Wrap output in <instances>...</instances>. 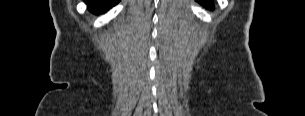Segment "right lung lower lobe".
Segmentation results:
<instances>
[{"mask_svg": "<svg viewBox=\"0 0 305 116\" xmlns=\"http://www.w3.org/2000/svg\"><path fill=\"white\" fill-rule=\"evenodd\" d=\"M119 0H86L88 9L94 14H101L114 5H116Z\"/></svg>", "mask_w": 305, "mask_h": 116, "instance_id": "1", "label": "right lung lower lobe"}]
</instances>
